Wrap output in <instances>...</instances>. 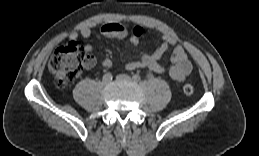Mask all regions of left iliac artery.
I'll use <instances>...</instances> for the list:
<instances>
[{
  "label": "left iliac artery",
  "mask_w": 259,
  "mask_h": 156,
  "mask_svg": "<svg viewBox=\"0 0 259 156\" xmlns=\"http://www.w3.org/2000/svg\"><path fill=\"white\" fill-rule=\"evenodd\" d=\"M132 78L135 82H139L141 80V77L138 74H134Z\"/></svg>",
  "instance_id": "left-iliac-artery-1"
}]
</instances>
